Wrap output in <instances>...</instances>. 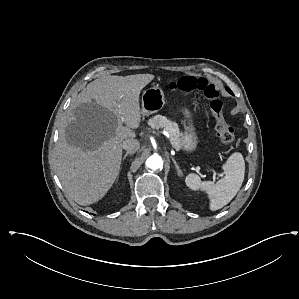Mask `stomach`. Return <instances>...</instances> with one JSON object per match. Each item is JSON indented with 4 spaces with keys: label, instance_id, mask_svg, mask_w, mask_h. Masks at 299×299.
<instances>
[{
    "label": "stomach",
    "instance_id": "1",
    "mask_svg": "<svg viewBox=\"0 0 299 299\" xmlns=\"http://www.w3.org/2000/svg\"><path fill=\"white\" fill-rule=\"evenodd\" d=\"M164 104L165 96L163 90L158 85H153L142 94L141 114L148 116L157 113L163 108ZM181 111L188 120V124L185 126V132L181 136V147L186 151L192 152L196 149L198 144V137L192 122V114L186 108Z\"/></svg>",
    "mask_w": 299,
    "mask_h": 299
}]
</instances>
